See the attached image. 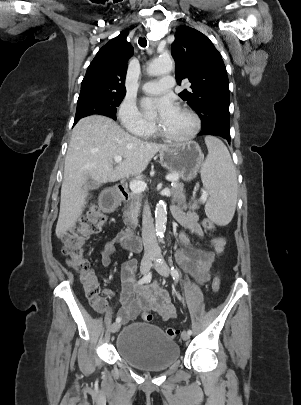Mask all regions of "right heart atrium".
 Listing matches in <instances>:
<instances>
[{
  "label": "right heart atrium",
  "mask_w": 301,
  "mask_h": 405,
  "mask_svg": "<svg viewBox=\"0 0 301 405\" xmlns=\"http://www.w3.org/2000/svg\"><path fill=\"white\" fill-rule=\"evenodd\" d=\"M121 125L130 133L137 136L149 135L153 124L146 120L134 102L124 99L117 112Z\"/></svg>",
  "instance_id": "right-heart-atrium-1"
}]
</instances>
